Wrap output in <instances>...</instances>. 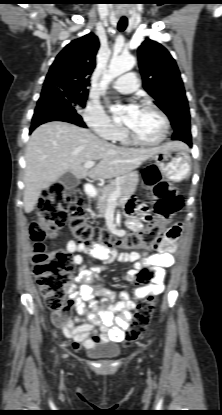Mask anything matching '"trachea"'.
<instances>
[{"label":"trachea","mask_w":222,"mask_h":415,"mask_svg":"<svg viewBox=\"0 0 222 415\" xmlns=\"http://www.w3.org/2000/svg\"><path fill=\"white\" fill-rule=\"evenodd\" d=\"M127 24H128V21H127L126 19H121V20L118 22V30H119L120 32H123V31L126 29Z\"/></svg>","instance_id":"1"}]
</instances>
